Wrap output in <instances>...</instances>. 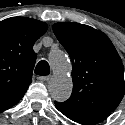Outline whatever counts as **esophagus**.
<instances>
[{
    "mask_svg": "<svg viewBox=\"0 0 125 125\" xmlns=\"http://www.w3.org/2000/svg\"><path fill=\"white\" fill-rule=\"evenodd\" d=\"M38 79L42 82H47L50 80V76H39Z\"/></svg>",
    "mask_w": 125,
    "mask_h": 125,
    "instance_id": "1",
    "label": "esophagus"
}]
</instances>
